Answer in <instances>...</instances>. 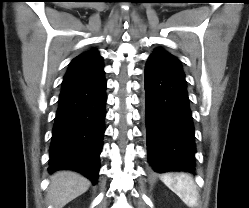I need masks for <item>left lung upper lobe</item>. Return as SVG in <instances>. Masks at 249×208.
<instances>
[{
  "mask_svg": "<svg viewBox=\"0 0 249 208\" xmlns=\"http://www.w3.org/2000/svg\"><path fill=\"white\" fill-rule=\"evenodd\" d=\"M151 57L164 58V59L172 61L175 64L181 66V63L177 58H175L172 54L168 53L167 51L163 50L162 48L155 49V51L151 54Z\"/></svg>",
  "mask_w": 249,
  "mask_h": 208,
  "instance_id": "1",
  "label": "left lung upper lobe"
}]
</instances>
